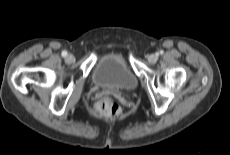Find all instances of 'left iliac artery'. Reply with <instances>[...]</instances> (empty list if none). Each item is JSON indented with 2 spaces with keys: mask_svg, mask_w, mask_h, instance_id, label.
Returning <instances> with one entry per match:
<instances>
[{
  "mask_svg": "<svg viewBox=\"0 0 230 155\" xmlns=\"http://www.w3.org/2000/svg\"><path fill=\"white\" fill-rule=\"evenodd\" d=\"M159 54H163V51L161 50V51L159 52Z\"/></svg>",
  "mask_w": 230,
  "mask_h": 155,
  "instance_id": "obj_1",
  "label": "left iliac artery"
}]
</instances>
